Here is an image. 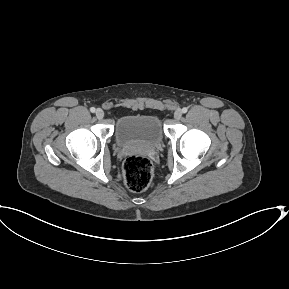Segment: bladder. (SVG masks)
Returning a JSON list of instances; mask_svg holds the SVG:
<instances>
[{
	"label": "bladder",
	"instance_id": "obj_1",
	"mask_svg": "<svg viewBox=\"0 0 289 289\" xmlns=\"http://www.w3.org/2000/svg\"><path fill=\"white\" fill-rule=\"evenodd\" d=\"M164 130L158 116L132 114L121 117L115 127V140L121 146L145 145L155 147L162 143Z\"/></svg>",
	"mask_w": 289,
	"mask_h": 289
}]
</instances>
